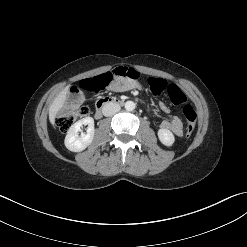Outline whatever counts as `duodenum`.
Wrapping results in <instances>:
<instances>
[{"label":"duodenum","instance_id":"1","mask_svg":"<svg viewBox=\"0 0 247 247\" xmlns=\"http://www.w3.org/2000/svg\"><path fill=\"white\" fill-rule=\"evenodd\" d=\"M123 104L122 100L105 97L98 100L95 110V118L100 119L103 116L104 110L110 106H121Z\"/></svg>","mask_w":247,"mask_h":247}]
</instances>
